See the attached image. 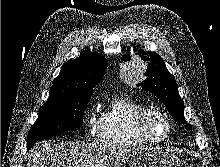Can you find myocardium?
I'll use <instances>...</instances> for the list:
<instances>
[{"instance_id": "myocardium-1", "label": "myocardium", "mask_w": 220, "mask_h": 167, "mask_svg": "<svg viewBox=\"0 0 220 167\" xmlns=\"http://www.w3.org/2000/svg\"><path fill=\"white\" fill-rule=\"evenodd\" d=\"M153 117H158L162 119L166 125H167V132L164 136L162 137H155L152 135L150 127H149V122ZM138 127L141 135L144 137V139L149 142V143H162L165 140H167L172 132H173V124L169 116L164 113L163 111L159 109H147L141 116L138 122Z\"/></svg>"}]
</instances>
